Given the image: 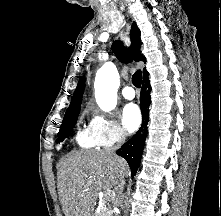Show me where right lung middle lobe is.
Returning a JSON list of instances; mask_svg holds the SVG:
<instances>
[{
    "label": "right lung middle lobe",
    "mask_w": 221,
    "mask_h": 216,
    "mask_svg": "<svg viewBox=\"0 0 221 216\" xmlns=\"http://www.w3.org/2000/svg\"><path fill=\"white\" fill-rule=\"evenodd\" d=\"M79 112L73 113L68 116H64L63 122L61 124L59 133H58V140L57 142L63 141L66 137L69 136L70 130L74 127L77 121V117Z\"/></svg>",
    "instance_id": "dd1d6c3e"
}]
</instances>
